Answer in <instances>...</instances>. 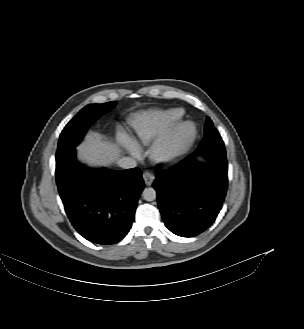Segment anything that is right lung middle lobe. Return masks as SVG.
<instances>
[{
    "mask_svg": "<svg viewBox=\"0 0 304 329\" xmlns=\"http://www.w3.org/2000/svg\"><path fill=\"white\" fill-rule=\"evenodd\" d=\"M116 102L89 104L71 119L60 134L56 158L73 150L83 139L87 129L104 113L113 109Z\"/></svg>",
    "mask_w": 304,
    "mask_h": 329,
    "instance_id": "dd1d6c3e",
    "label": "right lung middle lobe"
}]
</instances>
